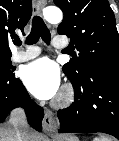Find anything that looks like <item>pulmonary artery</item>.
Instances as JSON below:
<instances>
[{"label": "pulmonary artery", "instance_id": "e3ab8cb5", "mask_svg": "<svg viewBox=\"0 0 119 141\" xmlns=\"http://www.w3.org/2000/svg\"><path fill=\"white\" fill-rule=\"evenodd\" d=\"M53 44L56 48L59 49H64L67 46L65 42L58 39H55ZM40 53L41 51L38 47L24 45L23 50H18L12 55V61L15 63L25 62L37 57Z\"/></svg>", "mask_w": 119, "mask_h": 141}]
</instances>
